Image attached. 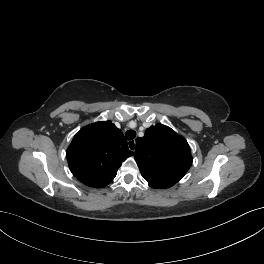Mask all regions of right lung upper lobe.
Instances as JSON below:
<instances>
[{"instance_id":"obj_1","label":"right lung upper lobe","mask_w":264,"mask_h":264,"mask_svg":"<svg viewBox=\"0 0 264 264\" xmlns=\"http://www.w3.org/2000/svg\"><path fill=\"white\" fill-rule=\"evenodd\" d=\"M66 155L69 168L79 181L102 188L114 179L121 163L133 152L120 129L111 121H101L77 132Z\"/></svg>"}]
</instances>
